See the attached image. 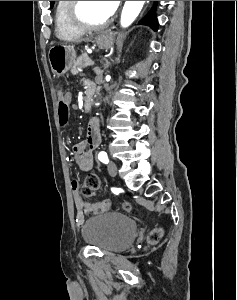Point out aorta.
Instances as JSON below:
<instances>
[{
	"instance_id": "obj_1",
	"label": "aorta",
	"mask_w": 237,
	"mask_h": 300,
	"mask_svg": "<svg viewBox=\"0 0 237 300\" xmlns=\"http://www.w3.org/2000/svg\"><path fill=\"white\" fill-rule=\"evenodd\" d=\"M145 1H126L120 19L121 27H129L138 17Z\"/></svg>"
}]
</instances>
